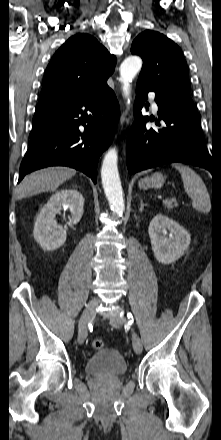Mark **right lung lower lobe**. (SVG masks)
I'll list each match as a JSON object with an SVG mask.
<instances>
[{
    "mask_svg": "<svg viewBox=\"0 0 221 440\" xmlns=\"http://www.w3.org/2000/svg\"><path fill=\"white\" fill-rule=\"evenodd\" d=\"M118 119L119 104L110 88L37 104L19 182L35 170L60 165L80 170L96 183L98 158L111 144Z\"/></svg>",
    "mask_w": 221,
    "mask_h": 440,
    "instance_id": "obj_1",
    "label": "right lung lower lobe"
}]
</instances>
